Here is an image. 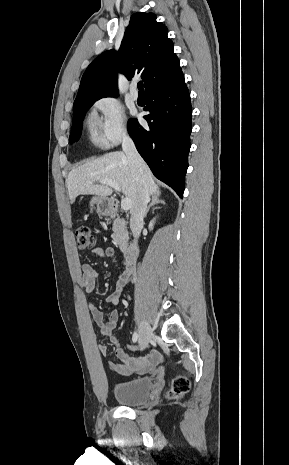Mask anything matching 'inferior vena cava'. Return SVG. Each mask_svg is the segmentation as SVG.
I'll return each instance as SVG.
<instances>
[{"instance_id": "obj_1", "label": "inferior vena cava", "mask_w": 289, "mask_h": 465, "mask_svg": "<svg viewBox=\"0 0 289 465\" xmlns=\"http://www.w3.org/2000/svg\"><path fill=\"white\" fill-rule=\"evenodd\" d=\"M122 149L126 154L132 171L138 178V199L135 208L131 212L130 228L135 238L140 236L143 227V219L147 210V204L150 200L149 190L143 175L145 162L139 155L133 140L125 134L122 140Z\"/></svg>"}]
</instances>
